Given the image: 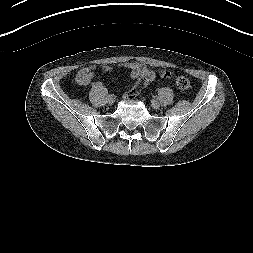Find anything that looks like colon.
<instances>
[{
	"label": "colon",
	"instance_id": "1",
	"mask_svg": "<svg viewBox=\"0 0 253 253\" xmlns=\"http://www.w3.org/2000/svg\"><path fill=\"white\" fill-rule=\"evenodd\" d=\"M161 76L166 79L173 77L172 73L168 70L162 71ZM175 82H176V85L178 86V88L181 90H188L191 88V83H190L189 79L184 76H176ZM144 84H145V81L143 79L136 78V87L126 93V95H125L126 98L127 99H135L139 95L140 90L144 86Z\"/></svg>",
	"mask_w": 253,
	"mask_h": 253
}]
</instances>
